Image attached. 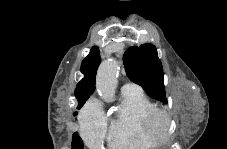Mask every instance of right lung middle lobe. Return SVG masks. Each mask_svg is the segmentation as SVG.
<instances>
[{"label":"right lung middle lobe","mask_w":227,"mask_h":149,"mask_svg":"<svg viewBox=\"0 0 227 149\" xmlns=\"http://www.w3.org/2000/svg\"><path fill=\"white\" fill-rule=\"evenodd\" d=\"M82 106L78 107V109H80ZM76 115V113H75ZM72 145L75 149H82V141L80 139V137L77 135V133L73 134V141H72Z\"/></svg>","instance_id":"obj_1"}]
</instances>
